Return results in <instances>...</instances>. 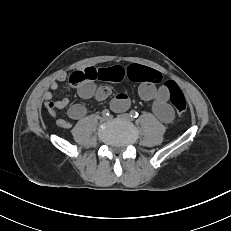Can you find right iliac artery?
Wrapping results in <instances>:
<instances>
[{
    "mask_svg": "<svg viewBox=\"0 0 231 231\" xmlns=\"http://www.w3.org/2000/svg\"><path fill=\"white\" fill-rule=\"evenodd\" d=\"M109 114H110V111H109L108 109H104V110L102 111V115H103V116H109Z\"/></svg>",
    "mask_w": 231,
    "mask_h": 231,
    "instance_id": "82829eb1",
    "label": "right iliac artery"
}]
</instances>
